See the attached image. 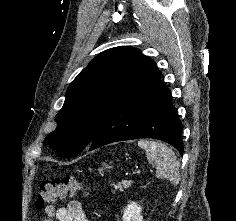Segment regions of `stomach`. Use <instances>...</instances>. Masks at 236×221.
Masks as SVG:
<instances>
[{
	"mask_svg": "<svg viewBox=\"0 0 236 221\" xmlns=\"http://www.w3.org/2000/svg\"><path fill=\"white\" fill-rule=\"evenodd\" d=\"M103 168H108V166H107L106 164H103V167H101V168L99 169V171H100V172L103 171Z\"/></svg>",
	"mask_w": 236,
	"mask_h": 221,
	"instance_id": "0dacf381",
	"label": "stomach"
}]
</instances>
